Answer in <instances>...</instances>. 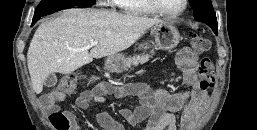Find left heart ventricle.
<instances>
[{
	"label": "left heart ventricle",
	"mask_w": 257,
	"mask_h": 130,
	"mask_svg": "<svg viewBox=\"0 0 257 130\" xmlns=\"http://www.w3.org/2000/svg\"><path fill=\"white\" fill-rule=\"evenodd\" d=\"M159 5L168 12L179 11L184 3V0H157Z\"/></svg>",
	"instance_id": "b2bd125f"
}]
</instances>
